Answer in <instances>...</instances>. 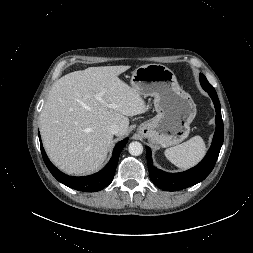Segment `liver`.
I'll list each match as a JSON object with an SVG mask.
<instances>
[{
  "instance_id": "liver-1",
  "label": "liver",
  "mask_w": 253,
  "mask_h": 253,
  "mask_svg": "<svg viewBox=\"0 0 253 253\" xmlns=\"http://www.w3.org/2000/svg\"><path fill=\"white\" fill-rule=\"evenodd\" d=\"M130 66L89 67L71 72L52 86L40 114V133L50 160L67 174H88L106 159L113 135L122 137L128 116L142 114L146 105L135 89L119 79ZM100 94L102 101L96 98ZM115 104L116 108H109Z\"/></svg>"
}]
</instances>
